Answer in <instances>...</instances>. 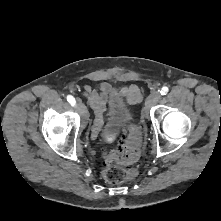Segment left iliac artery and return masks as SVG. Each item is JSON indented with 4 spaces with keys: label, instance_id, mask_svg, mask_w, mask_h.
<instances>
[{
    "label": "left iliac artery",
    "instance_id": "obj_1",
    "mask_svg": "<svg viewBox=\"0 0 221 221\" xmlns=\"http://www.w3.org/2000/svg\"><path fill=\"white\" fill-rule=\"evenodd\" d=\"M168 91H169L168 87L164 86L161 88L160 93H161V95H165L168 93Z\"/></svg>",
    "mask_w": 221,
    "mask_h": 221
}]
</instances>
